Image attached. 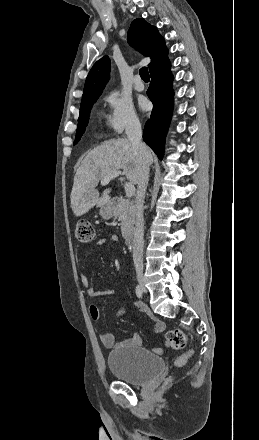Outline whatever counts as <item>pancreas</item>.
<instances>
[{"mask_svg":"<svg viewBox=\"0 0 259 440\" xmlns=\"http://www.w3.org/2000/svg\"><path fill=\"white\" fill-rule=\"evenodd\" d=\"M115 215L121 220V232L123 237L130 235L134 220H135V208L132 201L127 199H120L116 206Z\"/></svg>","mask_w":259,"mask_h":440,"instance_id":"obj_1","label":"pancreas"}]
</instances>
